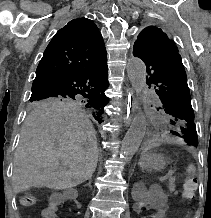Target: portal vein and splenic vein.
<instances>
[{"label": "portal vein and splenic vein", "mask_w": 211, "mask_h": 218, "mask_svg": "<svg viewBox=\"0 0 211 218\" xmlns=\"http://www.w3.org/2000/svg\"><path fill=\"white\" fill-rule=\"evenodd\" d=\"M176 174H177V173H176V172H173V171L168 172V174H166L165 178H170V176L176 175Z\"/></svg>", "instance_id": "1"}]
</instances>
